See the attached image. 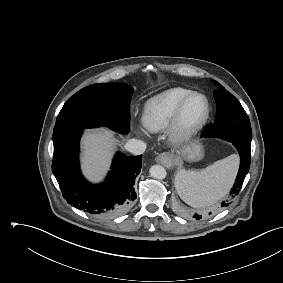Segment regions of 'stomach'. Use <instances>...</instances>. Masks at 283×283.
Returning <instances> with one entry per match:
<instances>
[{
  "label": "stomach",
  "mask_w": 283,
  "mask_h": 283,
  "mask_svg": "<svg viewBox=\"0 0 283 283\" xmlns=\"http://www.w3.org/2000/svg\"><path fill=\"white\" fill-rule=\"evenodd\" d=\"M204 150L202 145L194 141L187 146H184L181 150L176 152V155L187 161H198L203 157Z\"/></svg>",
  "instance_id": "stomach-1"
}]
</instances>
